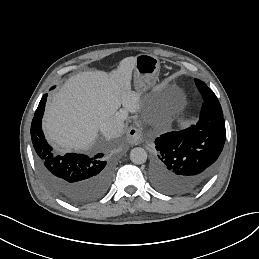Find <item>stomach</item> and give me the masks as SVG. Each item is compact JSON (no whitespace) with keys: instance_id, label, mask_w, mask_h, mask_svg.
Listing matches in <instances>:
<instances>
[{"instance_id":"1","label":"stomach","mask_w":259,"mask_h":259,"mask_svg":"<svg viewBox=\"0 0 259 259\" xmlns=\"http://www.w3.org/2000/svg\"><path fill=\"white\" fill-rule=\"evenodd\" d=\"M137 62L135 72L145 76H156L160 71L159 59L151 54H139L136 56Z\"/></svg>"}]
</instances>
